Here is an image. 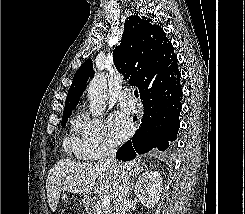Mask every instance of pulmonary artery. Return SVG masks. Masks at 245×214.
<instances>
[{
  "mask_svg": "<svg viewBox=\"0 0 245 214\" xmlns=\"http://www.w3.org/2000/svg\"><path fill=\"white\" fill-rule=\"evenodd\" d=\"M118 102L122 109L129 113H134L136 111L135 101L130 93V91H124L119 97Z\"/></svg>",
  "mask_w": 245,
  "mask_h": 214,
  "instance_id": "1",
  "label": "pulmonary artery"
}]
</instances>
